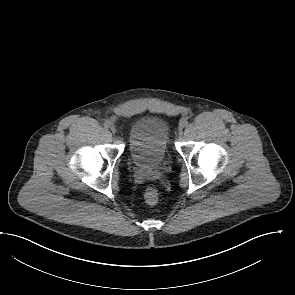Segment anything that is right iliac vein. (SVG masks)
Here are the masks:
<instances>
[{"label": "right iliac vein", "mask_w": 295, "mask_h": 295, "mask_svg": "<svg viewBox=\"0 0 295 295\" xmlns=\"http://www.w3.org/2000/svg\"><path fill=\"white\" fill-rule=\"evenodd\" d=\"M111 131L114 133L116 131V128L114 126H112Z\"/></svg>", "instance_id": "1"}]
</instances>
